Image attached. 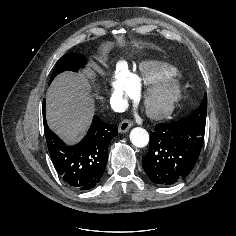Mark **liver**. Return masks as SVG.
Segmentation results:
<instances>
[{"label":"liver","instance_id":"6515ba94","mask_svg":"<svg viewBox=\"0 0 236 236\" xmlns=\"http://www.w3.org/2000/svg\"><path fill=\"white\" fill-rule=\"evenodd\" d=\"M94 111L88 80L83 75L63 73L48 89L46 118L49 127L68 142L82 137Z\"/></svg>","mask_w":236,"mask_h":236}]
</instances>
